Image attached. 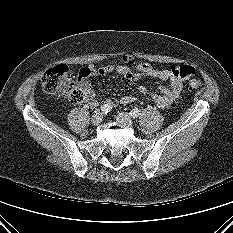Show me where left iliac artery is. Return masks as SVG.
I'll return each instance as SVG.
<instances>
[{"instance_id": "1", "label": "left iliac artery", "mask_w": 233, "mask_h": 233, "mask_svg": "<svg viewBox=\"0 0 233 233\" xmlns=\"http://www.w3.org/2000/svg\"><path fill=\"white\" fill-rule=\"evenodd\" d=\"M130 115L132 118H137L140 115V110L138 108H135L131 110Z\"/></svg>"}]
</instances>
